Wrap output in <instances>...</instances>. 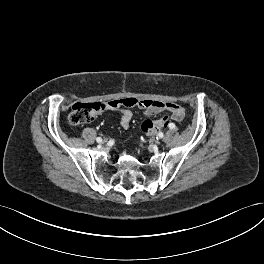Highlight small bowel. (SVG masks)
<instances>
[{"label": "small bowel", "mask_w": 264, "mask_h": 264, "mask_svg": "<svg viewBox=\"0 0 264 264\" xmlns=\"http://www.w3.org/2000/svg\"><path fill=\"white\" fill-rule=\"evenodd\" d=\"M134 99L135 103L133 106L139 107L145 115L152 116L156 115L162 111H169L172 114V119L175 121H180L184 117V109L172 102H161V101H156V100H138L135 98ZM131 107V106H130ZM133 117V113L129 108H125L121 110V126L123 128H128L130 126L131 120Z\"/></svg>", "instance_id": "small-bowel-1"}]
</instances>
